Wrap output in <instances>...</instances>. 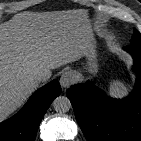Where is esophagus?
<instances>
[{
	"label": "esophagus",
	"mask_w": 141,
	"mask_h": 141,
	"mask_svg": "<svg viewBox=\"0 0 141 141\" xmlns=\"http://www.w3.org/2000/svg\"><path fill=\"white\" fill-rule=\"evenodd\" d=\"M74 80V75L71 71H66L61 75L60 85L62 88H67Z\"/></svg>",
	"instance_id": "obj_1"
}]
</instances>
